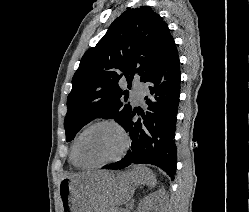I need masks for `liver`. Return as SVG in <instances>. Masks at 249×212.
I'll use <instances>...</instances> for the list:
<instances>
[{
  "mask_svg": "<svg viewBox=\"0 0 249 212\" xmlns=\"http://www.w3.org/2000/svg\"><path fill=\"white\" fill-rule=\"evenodd\" d=\"M148 174L144 166H134L132 172H108V170H98V172H85V174H74L72 178H78L95 190L97 206L104 212H109L113 206H123L132 200L137 186L145 184Z\"/></svg>",
  "mask_w": 249,
  "mask_h": 212,
  "instance_id": "6515ba94",
  "label": "liver"
}]
</instances>
